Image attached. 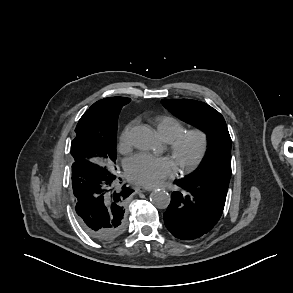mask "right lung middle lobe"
Here are the masks:
<instances>
[{
    "mask_svg": "<svg viewBox=\"0 0 293 293\" xmlns=\"http://www.w3.org/2000/svg\"><path fill=\"white\" fill-rule=\"evenodd\" d=\"M120 109L114 113V126L108 134H99L96 129H75L76 137L72 141L71 154L75 157L79 153L93 154L96 156L97 165L101 166L105 172L113 170L115 167V146H116V124Z\"/></svg>",
    "mask_w": 293,
    "mask_h": 293,
    "instance_id": "dd1d6c3e",
    "label": "right lung middle lobe"
}]
</instances>
